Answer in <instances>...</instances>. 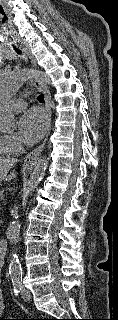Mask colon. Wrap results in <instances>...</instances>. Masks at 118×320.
I'll return each instance as SVG.
<instances>
[{
    "instance_id": "5ec220e1",
    "label": "colon",
    "mask_w": 118,
    "mask_h": 320,
    "mask_svg": "<svg viewBox=\"0 0 118 320\" xmlns=\"http://www.w3.org/2000/svg\"><path fill=\"white\" fill-rule=\"evenodd\" d=\"M0 320H8V319L0 318ZM26 320H40V319H26Z\"/></svg>"
}]
</instances>
